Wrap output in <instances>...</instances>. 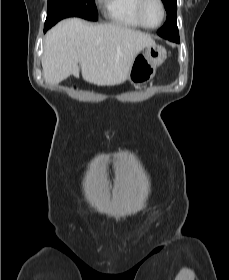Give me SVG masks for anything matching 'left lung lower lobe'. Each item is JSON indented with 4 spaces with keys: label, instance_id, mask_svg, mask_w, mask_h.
<instances>
[{
    "label": "left lung lower lobe",
    "instance_id": "obj_1",
    "mask_svg": "<svg viewBox=\"0 0 229 280\" xmlns=\"http://www.w3.org/2000/svg\"><path fill=\"white\" fill-rule=\"evenodd\" d=\"M170 41L179 42V38L173 39V40H170Z\"/></svg>",
    "mask_w": 229,
    "mask_h": 280
}]
</instances>
